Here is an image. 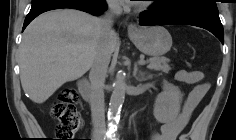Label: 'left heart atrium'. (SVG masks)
Here are the masks:
<instances>
[{"label": "left heart atrium", "instance_id": "left-heart-atrium-1", "mask_svg": "<svg viewBox=\"0 0 236 140\" xmlns=\"http://www.w3.org/2000/svg\"><path fill=\"white\" fill-rule=\"evenodd\" d=\"M125 2H130V1L125 0ZM131 2H137V1H131Z\"/></svg>", "mask_w": 236, "mask_h": 140}]
</instances>
